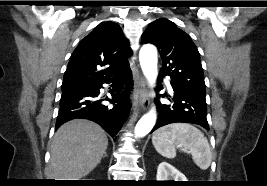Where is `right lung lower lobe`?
I'll use <instances>...</instances> for the list:
<instances>
[{"instance_id": "right-lung-lower-lobe-1", "label": "right lung lower lobe", "mask_w": 267, "mask_h": 186, "mask_svg": "<svg viewBox=\"0 0 267 186\" xmlns=\"http://www.w3.org/2000/svg\"><path fill=\"white\" fill-rule=\"evenodd\" d=\"M130 78L131 71L127 65L103 79L63 86L56 129L69 120L84 118L98 123L114 138L127 117L129 103L124 84ZM104 83L111 84V99L108 97L99 99L98 97ZM104 100L112 103L114 107L109 108L103 105L101 102Z\"/></svg>"}]
</instances>
